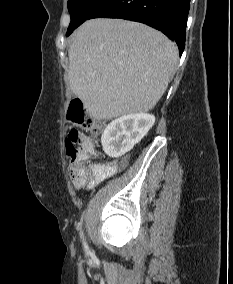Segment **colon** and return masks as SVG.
I'll use <instances>...</instances> for the list:
<instances>
[{
    "mask_svg": "<svg viewBox=\"0 0 233 284\" xmlns=\"http://www.w3.org/2000/svg\"><path fill=\"white\" fill-rule=\"evenodd\" d=\"M68 119L77 127L70 130L66 138V151L71 160L69 174L76 188L86 186L85 161L94 154V139L102 131L103 125L88 112L80 99L70 102Z\"/></svg>",
    "mask_w": 233,
    "mask_h": 284,
    "instance_id": "obj_1",
    "label": "colon"
}]
</instances>
